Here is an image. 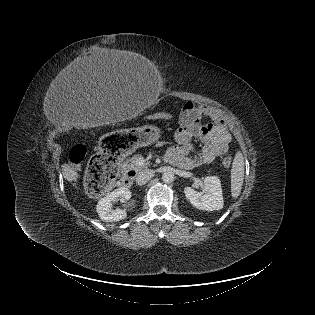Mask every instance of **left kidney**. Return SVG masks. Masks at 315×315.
Segmentation results:
<instances>
[{"instance_id": "1", "label": "left kidney", "mask_w": 315, "mask_h": 315, "mask_svg": "<svg viewBox=\"0 0 315 315\" xmlns=\"http://www.w3.org/2000/svg\"><path fill=\"white\" fill-rule=\"evenodd\" d=\"M205 193L197 192L191 187H185L184 193L190 203L199 210L214 211L223 208V195L220 179L207 176L204 179Z\"/></svg>"}]
</instances>
